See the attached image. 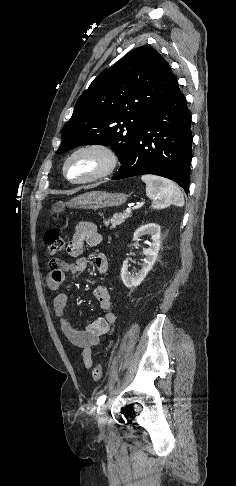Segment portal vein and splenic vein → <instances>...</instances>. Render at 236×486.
I'll use <instances>...</instances> for the list:
<instances>
[{
    "label": "portal vein and splenic vein",
    "mask_w": 236,
    "mask_h": 486,
    "mask_svg": "<svg viewBox=\"0 0 236 486\" xmlns=\"http://www.w3.org/2000/svg\"><path fill=\"white\" fill-rule=\"evenodd\" d=\"M130 212H131V207H128V208L126 209V213H130Z\"/></svg>",
    "instance_id": "obj_1"
}]
</instances>
